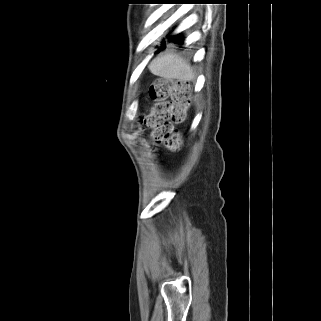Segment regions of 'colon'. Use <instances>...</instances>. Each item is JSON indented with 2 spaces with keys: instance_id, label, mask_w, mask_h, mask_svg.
<instances>
[{
  "instance_id": "1",
  "label": "colon",
  "mask_w": 321,
  "mask_h": 321,
  "mask_svg": "<svg viewBox=\"0 0 321 321\" xmlns=\"http://www.w3.org/2000/svg\"><path fill=\"white\" fill-rule=\"evenodd\" d=\"M190 90L187 81L165 79L155 81L149 89L150 98L157 103L148 123L154 129L155 139L171 150L181 144V137L174 125L185 119L191 100Z\"/></svg>"
}]
</instances>
